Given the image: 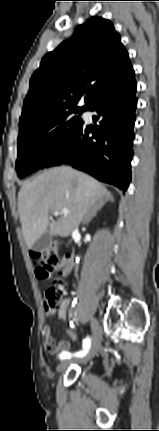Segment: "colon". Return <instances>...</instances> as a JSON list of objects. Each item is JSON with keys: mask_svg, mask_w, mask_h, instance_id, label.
Instances as JSON below:
<instances>
[{"mask_svg": "<svg viewBox=\"0 0 159 431\" xmlns=\"http://www.w3.org/2000/svg\"><path fill=\"white\" fill-rule=\"evenodd\" d=\"M33 258L36 266V274L42 279L48 278L58 266V254L53 248H46L35 252L33 253ZM63 295L64 281L61 277H56L44 295L46 310L49 312L54 311L61 302ZM65 336L69 338L71 342H76L79 339V336L73 329H67L65 331Z\"/></svg>", "mask_w": 159, "mask_h": 431, "instance_id": "5ec220e1", "label": "colon"}]
</instances>
